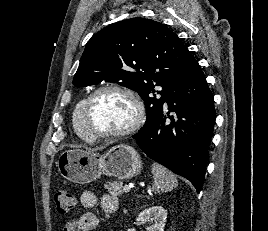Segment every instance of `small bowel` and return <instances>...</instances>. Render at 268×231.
<instances>
[{
  "label": "small bowel",
  "mask_w": 268,
  "mask_h": 231,
  "mask_svg": "<svg viewBox=\"0 0 268 231\" xmlns=\"http://www.w3.org/2000/svg\"><path fill=\"white\" fill-rule=\"evenodd\" d=\"M81 205L86 208H92L97 204L100 206L103 213L111 215L118 209L117 197L109 194L103 195L100 199H97L95 194L91 191H84L80 196ZM100 223L99 217L93 212H86L79 217L70 220L63 231H93Z\"/></svg>",
  "instance_id": "small-bowel-1"
}]
</instances>
